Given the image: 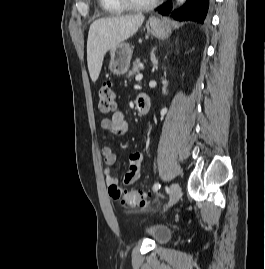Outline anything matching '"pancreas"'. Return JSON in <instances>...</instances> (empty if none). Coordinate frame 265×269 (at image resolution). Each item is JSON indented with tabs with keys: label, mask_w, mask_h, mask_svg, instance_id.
Here are the masks:
<instances>
[{
	"label": "pancreas",
	"mask_w": 265,
	"mask_h": 269,
	"mask_svg": "<svg viewBox=\"0 0 265 269\" xmlns=\"http://www.w3.org/2000/svg\"><path fill=\"white\" fill-rule=\"evenodd\" d=\"M141 68L142 64L140 62V59L135 60L132 65V69L128 74V77H133L135 74L139 73Z\"/></svg>",
	"instance_id": "obj_1"
}]
</instances>
